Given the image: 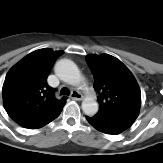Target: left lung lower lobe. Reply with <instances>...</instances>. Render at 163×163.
<instances>
[{"label": "left lung lower lobe", "instance_id": "obj_1", "mask_svg": "<svg viewBox=\"0 0 163 163\" xmlns=\"http://www.w3.org/2000/svg\"><path fill=\"white\" fill-rule=\"evenodd\" d=\"M86 119L98 131L112 135L120 134L135 121L128 118L107 117L99 115H95L94 117L86 116Z\"/></svg>", "mask_w": 163, "mask_h": 163}]
</instances>
